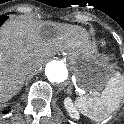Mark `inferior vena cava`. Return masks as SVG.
Returning a JSON list of instances; mask_svg holds the SVG:
<instances>
[{"label": "inferior vena cava", "mask_w": 124, "mask_h": 124, "mask_svg": "<svg viewBox=\"0 0 124 124\" xmlns=\"http://www.w3.org/2000/svg\"><path fill=\"white\" fill-rule=\"evenodd\" d=\"M28 69H29L30 71H35V70L37 69V64H36L35 62H30V63L28 64Z\"/></svg>", "instance_id": "602c4592"}]
</instances>
